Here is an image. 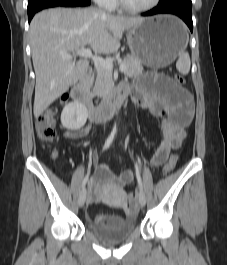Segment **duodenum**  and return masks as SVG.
I'll return each instance as SVG.
<instances>
[{"mask_svg": "<svg viewBox=\"0 0 227 265\" xmlns=\"http://www.w3.org/2000/svg\"><path fill=\"white\" fill-rule=\"evenodd\" d=\"M71 95L88 109L92 121H104L110 119L115 114L125 101L128 92L124 88L118 87L110 100L100 105H94L89 93V73H85L73 85Z\"/></svg>", "mask_w": 227, "mask_h": 265, "instance_id": "1", "label": "duodenum"}]
</instances>
